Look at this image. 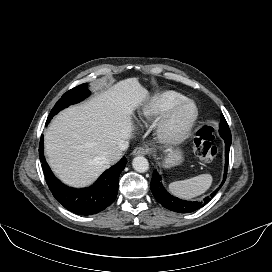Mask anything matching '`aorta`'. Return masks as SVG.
<instances>
[{"label":"aorta","mask_w":272,"mask_h":272,"mask_svg":"<svg viewBox=\"0 0 272 272\" xmlns=\"http://www.w3.org/2000/svg\"><path fill=\"white\" fill-rule=\"evenodd\" d=\"M133 168L140 173L146 172L149 169L148 160L143 156H137L132 161Z\"/></svg>","instance_id":"1"}]
</instances>
